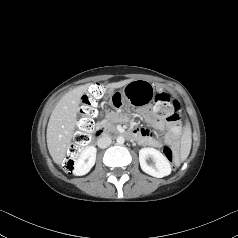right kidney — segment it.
<instances>
[{"label":"right kidney","mask_w":238,"mask_h":238,"mask_svg":"<svg viewBox=\"0 0 238 238\" xmlns=\"http://www.w3.org/2000/svg\"><path fill=\"white\" fill-rule=\"evenodd\" d=\"M97 150L94 146L86 147L75 162L74 173L76 175H85L94 166Z\"/></svg>","instance_id":"right-kidney-1"}]
</instances>
